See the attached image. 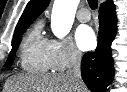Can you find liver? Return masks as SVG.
<instances>
[{"mask_svg":"<svg viewBox=\"0 0 127 92\" xmlns=\"http://www.w3.org/2000/svg\"><path fill=\"white\" fill-rule=\"evenodd\" d=\"M4 92H88V89L83 82L76 87L64 73H54L11 77Z\"/></svg>","mask_w":127,"mask_h":92,"instance_id":"1","label":"liver"}]
</instances>
